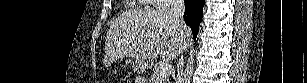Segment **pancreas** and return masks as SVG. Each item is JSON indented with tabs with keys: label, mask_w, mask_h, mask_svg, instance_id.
I'll return each instance as SVG.
<instances>
[{
	"label": "pancreas",
	"mask_w": 307,
	"mask_h": 83,
	"mask_svg": "<svg viewBox=\"0 0 307 83\" xmlns=\"http://www.w3.org/2000/svg\"><path fill=\"white\" fill-rule=\"evenodd\" d=\"M169 77H162L161 79H159V71H155L152 75V82L153 83H168L169 81Z\"/></svg>",
	"instance_id": "pancreas-1"
}]
</instances>
